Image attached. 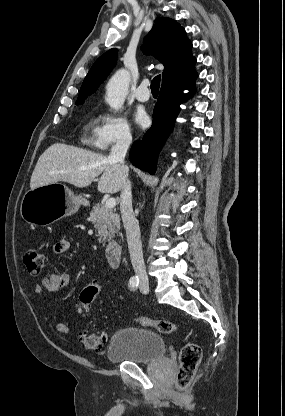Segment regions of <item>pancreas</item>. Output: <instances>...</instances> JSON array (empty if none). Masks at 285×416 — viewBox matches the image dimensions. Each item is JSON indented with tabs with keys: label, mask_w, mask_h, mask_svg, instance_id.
<instances>
[{
	"label": "pancreas",
	"mask_w": 285,
	"mask_h": 416,
	"mask_svg": "<svg viewBox=\"0 0 285 416\" xmlns=\"http://www.w3.org/2000/svg\"><path fill=\"white\" fill-rule=\"evenodd\" d=\"M90 222L99 236L100 244H105L106 240L114 238L120 230V218L112 208H106L104 204H95L89 216Z\"/></svg>",
	"instance_id": "pancreas-1"
}]
</instances>
